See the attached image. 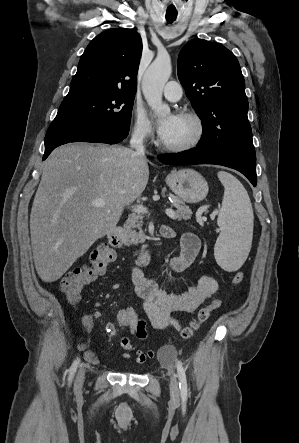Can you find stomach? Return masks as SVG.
I'll list each match as a JSON object with an SVG mask.
<instances>
[{
    "label": "stomach",
    "instance_id": "1",
    "mask_svg": "<svg viewBox=\"0 0 299 443\" xmlns=\"http://www.w3.org/2000/svg\"><path fill=\"white\" fill-rule=\"evenodd\" d=\"M169 188L187 203H198L208 194V184L205 178L191 168L172 171L166 177Z\"/></svg>",
    "mask_w": 299,
    "mask_h": 443
}]
</instances>
